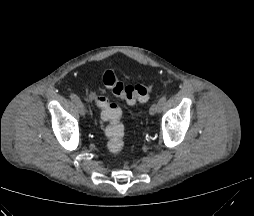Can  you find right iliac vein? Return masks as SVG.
Instances as JSON below:
<instances>
[{
	"mask_svg": "<svg viewBox=\"0 0 254 216\" xmlns=\"http://www.w3.org/2000/svg\"><path fill=\"white\" fill-rule=\"evenodd\" d=\"M75 105H76L78 113L84 117L86 115V109L84 105L82 103H76Z\"/></svg>",
	"mask_w": 254,
	"mask_h": 216,
	"instance_id": "63e3f726",
	"label": "right iliac vein"
}]
</instances>
